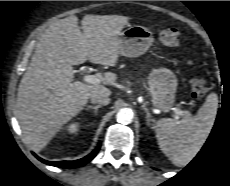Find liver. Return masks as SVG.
<instances>
[{
  "label": "liver",
  "instance_id": "1",
  "mask_svg": "<svg viewBox=\"0 0 230 186\" xmlns=\"http://www.w3.org/2000/svg\"><path fill=\"white\" fill-rule=\"evenodd\" d=\"M129 18L119 15L69 16L51 24L41 35L17 94L16 114L24 141L40 151L87 104L93 93L110 95L103 85L74 81L73 66L89 60L115 67L120 35ZM112 85L117 76H98Z\"/></svg>",
  "mask_w": 230,
  "mask_h": 186
}]
</instances>
